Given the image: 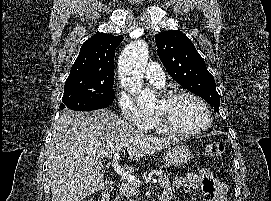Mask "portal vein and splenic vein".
<instances>
[{
    "mask_svg": "<svg viewBox=\"0 0 271 201\" xmlns=\"http://www.w3.org/2000/svg\"><path fill=\"white\" fill-rule=\"evenodd\" d=\"M119 152H115L113 154V156H108V157H112V168L114 169V171L121 176L123 179L127 180L129 183H131L132 185L135 186H139L141 184L140 180L137 179L134 175H132L131 173H129L128 171L124 170L118 163V159H119ZM152 183H157V179H152Z\"/></svg>",
    "mask_w": 271,
    "mask_h": 201,
    "instance_id": "portal-vein-and-splenic-vein-1",
    "label": "portal vein and splenic vein"
}]
</instances>
